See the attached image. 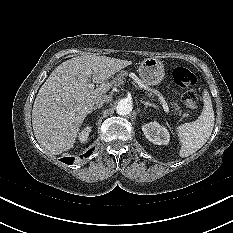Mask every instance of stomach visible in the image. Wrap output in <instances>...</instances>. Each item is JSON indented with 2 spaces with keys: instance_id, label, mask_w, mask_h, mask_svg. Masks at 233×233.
<instances>
[{
  "instance_id": "1",
  "label": "stomach",
  "mask_w": 233,
  "mask_h": 233,
  "mask_svg": "<svg viewBox=\"0 0 233 233\" xmlns=\"http://www.w3.org/2000/svg\"><path fill=\"white\" fill-rule=\"evenodd\" d=\"M138 73L146 84L157 85L164 78V65L157 58H146L141 62Z\"/></svg>"
}]
</instances>
